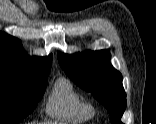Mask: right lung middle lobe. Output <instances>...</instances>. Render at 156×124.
<instances>
[{"instance_id": "right-lung-middle-lobe-1", "label": "right lung middle lobe", "mask_w": 156, "mask_h": 124, "mask_svg": "<svg viewBox=\"0 0 156 124\" xmlns=\"http://www.w3.org/2000/svg\"><path fill=\"white\" fill-rule=\"evenodd\" d=\"M47 76L0 72V124H16L33 112L45 92Z\"/></svg>"}]
</instances>
